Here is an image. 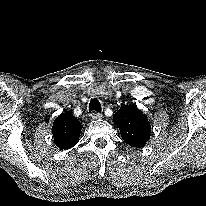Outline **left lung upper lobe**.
Listing matches in <instances>:
<instances>
[{
    "instance_id": "obj_1",
    "label": "left lung upper lobe",
    "mask_w": 206,
    "mask_h": 206,
    "mask_svg": "<svg viewBox=\"0 0 206 206\" xmlns=\"http://www.w3.org/2000/svg\"><path fill=\"white\" fill-rule=\"evenodd\" d=\"M123 140L130 146L140 148L150 138L151 126L147 116L136 106H121L113 116Z\"/></svg>"
}]
</instances>
